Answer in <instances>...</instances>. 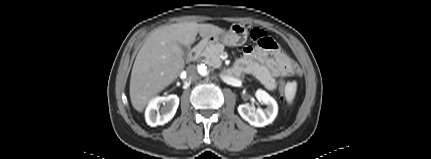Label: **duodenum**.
<instances>
[{"instance_id": "1", "label": "duodenum", "mask_w": 431, "mask_h": 159, "mask_svg": "<svg viewBox=\"0 0 431 159\" xmlns=\"http://www.w3.org/2000/svg\"><path fill=\"white\" fill-rule=\"evenodd\" d=\"M205 45H206V41H203V40L194 43V45H193V47H192V49L190 51V54H189V59L191 61H195L199 57V55L201 54V52H202L203 48L205 47ZM229 74H231V75H237L238 72L235 69H230L229 70Z\"/></svg>"}]
</instances>
